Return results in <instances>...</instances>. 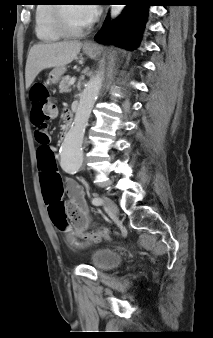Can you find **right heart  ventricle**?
<instances>
[{
	"label": "right heart ventricle",
	"instance_id": "1",
	"mask_svg": "<svg viewBox=\"0 0 213 338\" xmlns=\"http://www.w3.org/2000/svg\"><path fill=\"white\" fill-rule=\"evenodd\" d=\"M35 9V32L37 38L42 42H56L62 35L54 26V5L47 0H40Z\"/></svg>",
	"mask_w": 213,
	"mask_h": 338
}]
</instances>
